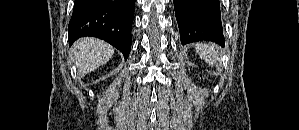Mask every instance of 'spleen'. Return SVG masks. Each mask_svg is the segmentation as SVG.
Listing matches in <instances>:
<instances>
[{"label":"spleen","instance_id":"spleen-1","mask_svg":"<svg viewBox=\"0 0 299 130\" xmlns=\"http://www.w3.org/2000/svg\"><path fill=\"white\" fill-rule=\"evenodd\" d=\"M195 49L206 63L214 66L219 61V54L217 46L213 43H198L195 45Z\"/></svg>","mask_w":299,"mask_h":130}]
</instances>
